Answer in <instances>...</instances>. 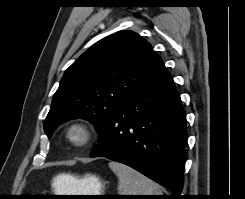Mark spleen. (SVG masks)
<instances>
[{"label":"spleen","instance_id":"1","mask_svg":"<svg viewBox=\"0 0 245 199\" xmlns=\"http://www.w3.org/2000/svg\"><path fill=\"white\" fill-rule=\"evenodd\" d=\"M109 167L119 179V195H162L160 187L136 170L118 162H109Z\"/></svg>","mask_w":245,"mask_h":199}]
</instances>
